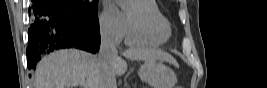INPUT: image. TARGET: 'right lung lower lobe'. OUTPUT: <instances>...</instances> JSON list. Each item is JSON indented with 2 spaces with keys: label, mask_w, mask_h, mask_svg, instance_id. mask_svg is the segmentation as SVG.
Listing matches in <instances>:
<instances>
[{
  "label": "right lung lower lobe",
  "mask_w": 267,
  "mask_h": 88,
  "mask_svg": "<svg viewBox=\"0 0 267 88\" xmlns=\"http://www.w3.org/2000/svg\"><path fill=\"white\" fill-rule=\"evenodd\" d=\"M30 10L34 16L26 50L30 69H35L42 54L59 48L98 51L101 40L97 17L77 12L64 0H33Z\"/></svg>",
  "instance_id": "98d812e1"
}]
</instances>
